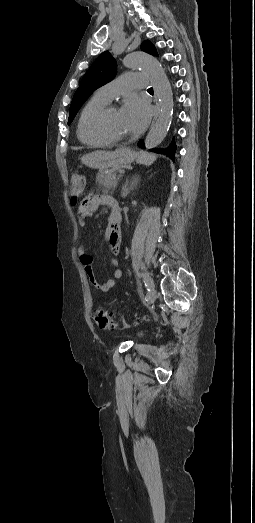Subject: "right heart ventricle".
I'll use <instances>...</instances> for the list:
<instances>
[{
    "label": "right heart ventricle",
    "instance_id": "e07e8e85",
    "mask_svg": "<svg viewBox=\"0 0 255 523\" xmlns=\"http://www.w3.org/2000/svg\"><path fill=\"white\" fill-rule=\"evenodd\" d=\"M112 100L108 99L104 95H102L99 90L95 91L93 95L85 102L83 105L81 112L79 114L78 122H77V135L79 140L86 144V145H103L106 143V141H103L101 139H97L93 136H91L87 129H86V119L88 118L89 114L95 110L96 108L106 105L110 103Z\"/></svg>",
    "mask_w": 255,
    "mask_h": 523
}]
</instances>
